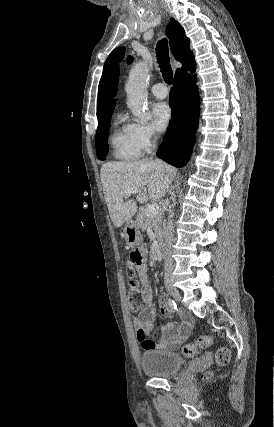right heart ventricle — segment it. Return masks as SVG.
I'll return each mask as SVG.
<instances>
[{
    "mask_svg": "<svg viewBox=\"0 0 274 427\" xmlns=\"http://www.w3.org/2000/svg\"><path fill=\"white\" fill-rule=\"evenodd\" d=\"M109 143L116 159L134 161L141 155V150L134 139L133 124L125 122L121 116L117 118Z\"/></svg>",
    "mask_w": 274,
    "mask_h": 427,
    "instance_id": "e07e8e85",
    "label": "right heart ventricle"
}]
</instances>
